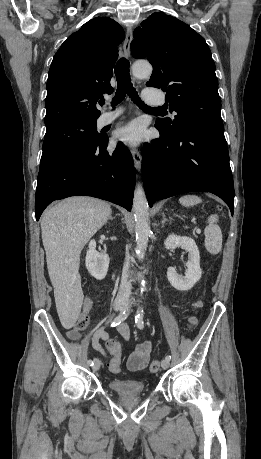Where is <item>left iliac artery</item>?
<instances>
[{
	"label": "left iliac artery",
	"mask_w": 261,
	"mask_h": 459,
	"mask_svg": "<svg viewBox=\"0 0 261 459\" xmlns=\"http://www.w3.org/2000/svg\"><path fill=\"white\" fill-rule=\"evenodd\" d=\"M143 318H144V308L141 306V307L138 308L137 314H136V316H135V323H136V325H137V327H138L139 329H143V327H144ZM165 359L170 360V359H171V356H170V355H167V356L165 357Z\"/></svg>",
	"instance_id": "left-iliac-artery-1"
}]
</instances>
